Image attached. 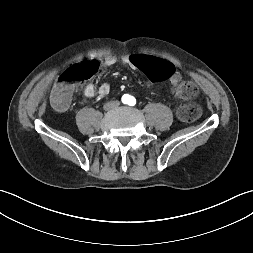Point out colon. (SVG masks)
<instances>
[{"instance_id":"5ec220e1","label":"colon","mask_w":253,"mask_h":253,"mask_svg":"<svg viewBox=\"0 0 253 253\" xmlns=\"http://www.w3.org/2000/svg\"><path fill=\"white\" fill-rule=\"evenodd\" d=\"M131 61L138 65L152 79L157 80L169 76L174 67L168 62L159 61L149 54H136ZM99 68L97 60H87L73 65L57 80L52 90V100L58 109H66L71 98L72 85L93 77ZM175 94L184 99H190L197 94V87L192 82H180L174 89ZM201 108L195 103L183 104L178 108V116L184 122H192L201 116Z\"/></svg>"}]
</instances>
